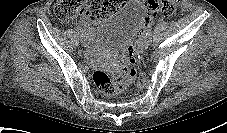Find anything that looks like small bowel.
<instances>
[{
  "label": "small bowel",
  "mask_w": 227,
  "mask_h": 133,
  "mask_svg": "<svg viewBox=\"0 0 227 133\" xmlns=\"http://www.w3.org/2000/svg\"><path fill=\"white\" fill-rule=\"evenodd\" d=\"M80 25H81L82 30L84 31V33L87 36H89V37L92 36L93 24H86V23L80 22Z\"/></svg>",
  "instance_id": "obj_1"
}]
</instances>
